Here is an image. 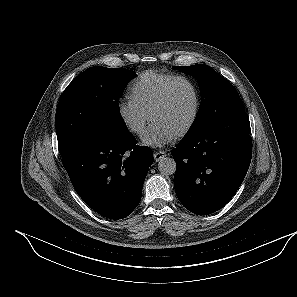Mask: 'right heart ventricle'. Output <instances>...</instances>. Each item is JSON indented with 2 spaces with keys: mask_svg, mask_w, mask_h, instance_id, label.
I'll return each instance as SVG.
<instances>
[{
  "mask_svg": "<svg viewBox=\"0 0 297 297\" xmlns=\"http://www.w3.org/2000/svg\"><path fill=\"white\" fill-rule=\"evenodd\" d=\"M174 77V74L146 71L132 84L131 97L149 114L164 86Z\"/></svg>",
  "mask_w": 297,
  "mask_h": 297,
  "instance_id": "1",
  "label": "right heart ventricle"
}]
</instances>
